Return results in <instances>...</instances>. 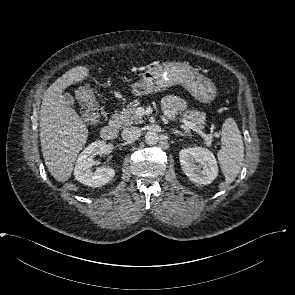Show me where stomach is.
Instances as JSON below:
<instances>
[{"label": "stomach", "mask_w": 295, "mask_h": 295, "mask_svg": "<svg viewBox=\"0 0 295 295\" xmlns=\"http://www.w3.org/2000/svg\"><path fill=\"white\" fill-rule=\"evenodd\" d=\"M173 85H181L202 103L213 101L217 95L214 83L185 62H166L146 69L142 79L132 86V93L148 95Z\"/></svg>", "instance_id": "0dacf381"}]
</instances>
